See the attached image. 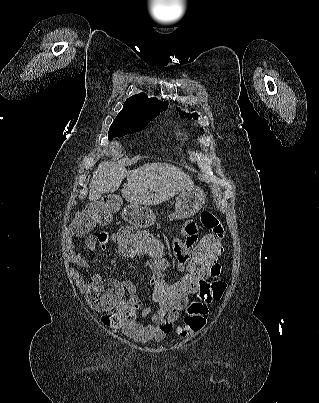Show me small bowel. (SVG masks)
<instances>
[{
	"label": "small bowel",
	"instance_id": "small-bowel-1",
	"mask_svg": "<svg viewBox=\"0 0 319 403\" xmlns=\"http://www.w3.org/2000/svg\"><path fill=\"white\" fill-rule=\"evenodd\" d=\"M198 230L197 224L187 221L183 225V233L179 234L174 240L172 250L177 260V267L181 272L185 264L192 259V254L189 250L198 241ZM110 237V229L95 230L94 235L87 236L86 248L104 249L107 245V238ZM67 250L72 265L77 267L89 266L88 260L75 253L71 244L68 245ZM149 269L152 273L150 278V283H152L153 274L157 268ZM69 273L82 292L86 294L89 309H101L105 329H110L112 335L124 334L140 343L148 341L160 342L173 330V325L177 321L179 313H156V310L144 307L137 294V287L132 280L124 279L121 282L120 279H102V274L98 272L88 281L73 266L69 267ZM210 275L212 276V282L222 283L224 280L223 267L220 264H213L210 267ZM204 286L203 283H200L196 287L188 303H193V300L204 296L201 295ZM187 305L182 310L186 309ZM138 309H142V317L150 316V324L143 325L136 320V310ZM175 333L177 334L176 331Z\"/></svg>",
	"mask_w": 319,
	"mask_h": 403
}]
</instances>
